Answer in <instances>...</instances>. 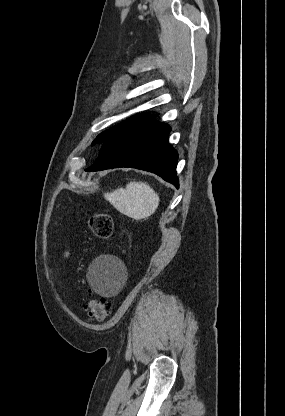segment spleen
Masks as SVG:
<instances>
[{
    "instance_id": "spleen-1",
    "label": "spleen",
    "mask_w": 285,
    "mask_h": 416,
    "mask_svg": "<svg viewBox=\"0 0 285 416\" xmlns=\"http://www.w3.org/2000/svg\"><path fill=\"white\" fill-rule=\"evenodd\" d=\"M104 198L118 212L133 220L149 218L156 212L160 202L158 194L146 182H129L126 188L108 192Z\"/></svg>"
}]
</instances>
